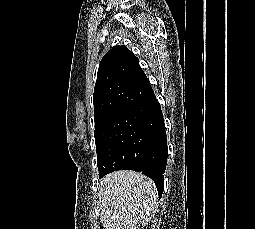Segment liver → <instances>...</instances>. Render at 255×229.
Here are the masks:
<instances>
[{
  "label": "liver",
  "mask_w": 255,
  "mask_h": 229,
  "mask_svg": "<svg viewBox=\"0 0 255 229\" xmlns=\"http://www.w3.org/2000/svg\"><path fill=\"white\" fill-rule=\"evenodd\" d=\"M98 196L104 229H139L157 208L154 182L134 171H116L105 176Z\"/></svg>",
  "instance_id": "1"
}]
</instances>
